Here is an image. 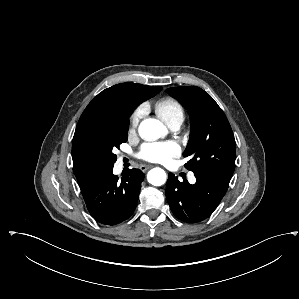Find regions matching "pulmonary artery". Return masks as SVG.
Wrapping results in <instances>:
<instances>
[{"label":"pulmonary artery","mask_w":299,"mask_h":299,"mask_svg":"<svg viewBox=\"0 0 299 299\" xmlns=\"http://www.w3.org/2000/svg\"><path fill=\"white\" fill-rule=\"evenodd\" d=\"M181 123H182L181 121H175V122H172L171 124H169V127H170L172 130H177V129L180 127ZM189 180H190L191 182H195V177H194L193 174H191V175L189 176Z\"/></svg>","instance_id":"1"}]
</instances>
